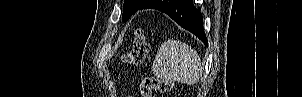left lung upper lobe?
I'll list each match as a JSON object with an SVG mask.
<instances>
[{"instance_id":"5c2ea615","label":"left lung upper lobe","mask_w":302,"mask_h":97,"mask_svg":"<svg viewBox=\"0 0 302 97\" xmlns=\"http://www.w3.org/2000/svg\"><path fill=\"white\" fill-rule=\"evenodd\" d=\"M149 0H125L123 5L122 20L127 21L138 10L148 7Z\"/></svg>"}]
</instances>
